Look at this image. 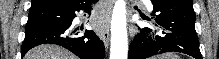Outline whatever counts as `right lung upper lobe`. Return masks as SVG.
<instances>
[{
	"mask_svg": "<svg viewBox=\"0 0 219 59\" xmlns=\"http://www.w3.org/2000/svg\"><path fill=\"white\" fill-rule=\"evenodd\" d=\"M75 1L76 0H32L30 10L37 9L42 6H52V7L68 6Z\"/></svg>",
	"mask_w": 219,
	"mask_h": 59,
	"instance_id": "right-lung-upper-lobe-1",
	"label": "right lung upper lobe"
}]
</instances>
